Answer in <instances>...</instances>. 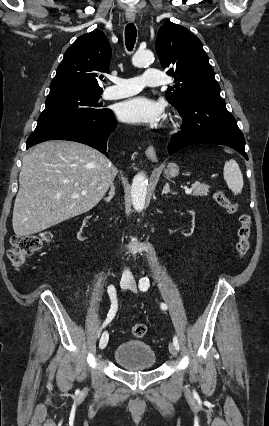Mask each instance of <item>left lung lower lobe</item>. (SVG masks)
Here are the masks:
<instances>
[{"label": "left lung lower lobe", "mask_w": 269, "mask_h": 426, "mask_svg": "<svg viewBox=\"0 0 269 426\" xmlns=\"http://www.w3.org/2000/svg\"><path fill=\"white\" fill-rule=\"evenodd\" d=\"M178 112L183 125L171 138L170 155L191 145L209 143L229 146L248 160L244 136L219 95L199 96Z\"/></svg>", "instance_id": "0a47b994"}]
</instances>
